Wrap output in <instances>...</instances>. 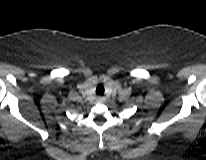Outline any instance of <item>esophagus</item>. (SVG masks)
<instances>
[{"mask_svg": "<svg viewBox=\"0 0 206 160\" xmlns=\"http://www.w3.org/2000/svg\"><path fill=\"white\" fill-rule=\"evenodd\" d=\"M104 97H102V96H98L97 98H96V102H98V103H101V102H104Z\"/></svg>", "mask_w": 206, "mask_h": 160, "instance_id": "34e87169", "label": "esophagus"}]
</instances>
